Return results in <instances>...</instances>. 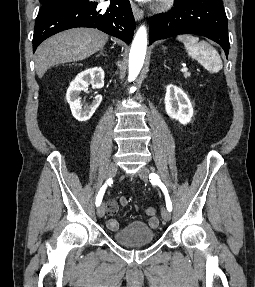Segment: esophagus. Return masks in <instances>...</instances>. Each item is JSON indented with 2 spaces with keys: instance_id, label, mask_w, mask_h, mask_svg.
<instances>
[{
  "instance_id": "1",
  "label": "esophagus",
  "mask_w": 255,
  "mask_h": 287,
  "mask_svg": "<svg viewBox=\"0 0 255 287\" xmlns=\"http://www.w3.org/2000/svg\"><path fill=\"white\" fill-rule=\"evenodd\" d=\"M131 8L135 20H141L143 18V11L131 0Z\"/></svg>"
}]
</instances>
